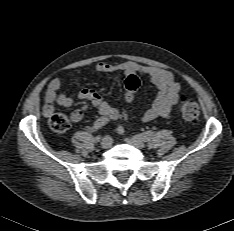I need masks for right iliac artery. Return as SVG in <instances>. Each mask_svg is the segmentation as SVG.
Here are the masks:
<instances>
[{"label":"right iliac artery","instance_id":"obj_1","mask_svg":"<svg viewBox=\"0 0 234 231\" xmlns=\"http://www.w3.org/2000/svg\"><path fill=\"white\" fill-rule=\"evenodd\" d=\"M108 123V120H106L105 118H99L97 119L92 127L93 132L98 131L99 129H101L104 125H106Z\"/></svg>","mask_w":234,"mask_h":231}]
</instances>
